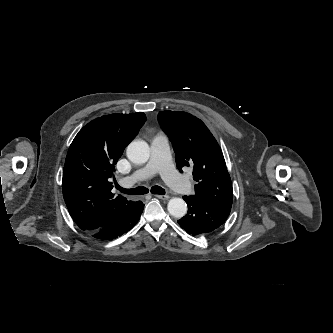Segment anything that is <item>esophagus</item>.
<instances>
[{"instance_id": "esophagus-1", "label": "esophagus", "mask_w": 333, "mask_h": 333, "mask_svg": "<svg viewBox=\"0 0 333 333\" xmlns=\"http://www.w3.org/2000/svg\"><path fill=\"white\" fill-rule=\"evenodd\" d=\"M156 198L158 199H161V200H168L170 198L169 195H159V194H156L154 195Z\"/></svg>"}]
</instances>
